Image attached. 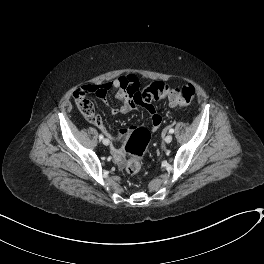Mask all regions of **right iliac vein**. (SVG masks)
Here are the masks:
<instances>
[{"mask_svg":"<svg viewBox=\"0 0 264 264\" xmlns=\"http://www.w3.org/2000/svg\"><path fill=\"white\" fill-rule=\"evenodd\" d=\"M102 143H103L105 146H108L109 143H110V141H109V139L105 138V139L102 140Z\"/></svg>","mask_w":264,"mask_h":264,"instance_id":"63e3f726","label":"right iliac vein"}]
</instances>
